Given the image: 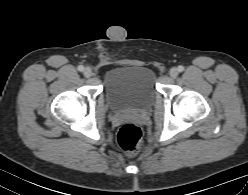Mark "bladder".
<instances>
[{
  "label": "bladder",
  "mask_w": 248,
  "mask_h": 195,
  "mask_svg": "<svg viewBox=\"0 0 248 195\" xmlns=\"http://www.w3.org/2000/svg\"><path fill=\"white\" fill-rule=\"evenodd\" d=\"M156 74L146 66L121 65L110 69L104 81V93L113 111H140L153 100Z\"/></svg>",
  "instance_id": "31cf9c89"
}]
</instances>
